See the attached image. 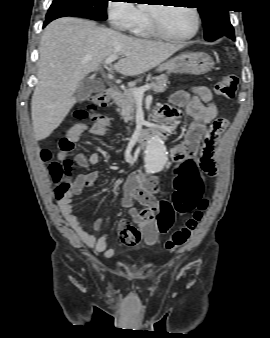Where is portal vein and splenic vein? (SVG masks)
Instances as JSON below:
<instances>
[{"label": "portal vein and splenic vein", "mask_w": 270, "mask_h": 338, "mask_svg": "<svg viewBox=\"0 0 270 338\" xmlns=\"http://www.w3.org/2000/svg\"><path fill=\"white\" fill-rule=\"evenodd\" d=\"M117 59H118L117 55H112L105 60V65H109L110 63L114 62ZM150 88H151L150 85H145V86L140 87V88H133L132 93L134 94L136 99H142L143 93Z\"/></svg>", "instance_id": "obj_1"}]
</instances>
